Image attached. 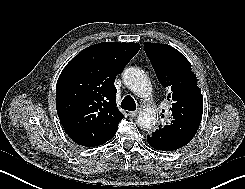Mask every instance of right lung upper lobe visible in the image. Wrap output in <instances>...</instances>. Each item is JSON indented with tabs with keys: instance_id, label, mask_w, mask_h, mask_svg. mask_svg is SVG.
<instances>
[{
	"instance_id": "obj_1",
	"label": "right lung upper lobe",
	"mask_w": 245,
	"mask_h": 189,
	"mask_svg": "<svg viewBox=\"0 0 245 189\" xmlns=\"http://www.w3.org/2000/svg\"><path fill=\"white\" fill-rule=\"evenodd\" d=\"M139 49L138 43H98L82 50L62 70L56 109L74 142L91 147L114 137L123 119L114 81Z\"/></svg>"
}]
</instances>
